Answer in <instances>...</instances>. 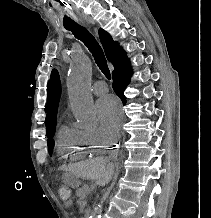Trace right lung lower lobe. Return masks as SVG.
Returning <instances> with one entry per match:
<instances>
[{"instance_id": "98d812e1", "label": "right lung lower lobe", "mask_w": 211, "mask_h": 218, "mask_svg": "<svg viewBox=\"0 0 211 218\" xmlns=\"http://www.w3.org/2000/svg\"><path fill=\"white\" fill-rule=\"evenodd\" d=\"M115 70L112 72L113 89L115 93L121 98H125L123 92L130 82L131 68L126 59L114 65Z\"/></svg>"}]
</instances>
